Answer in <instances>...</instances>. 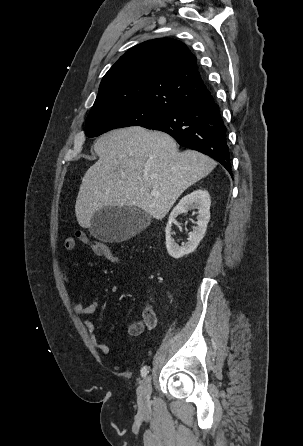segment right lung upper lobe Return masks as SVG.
<instances>
[{"label":"right lung upper lobe","instance_id":"obj_1","mask_svg":"<svg viewBox=\"0 0 303 446\" xmlns=\"http://www.w3.org/2000/svg\"><path fill=\"white\" fill-rule=\"evenodd\" d=\"M209 93L196 57L175 39L160 38L129 49L103 77L92 108L141 103L172 108Z\"/></svg>","mask_w":303,"mask_h":446}]
</instances>
